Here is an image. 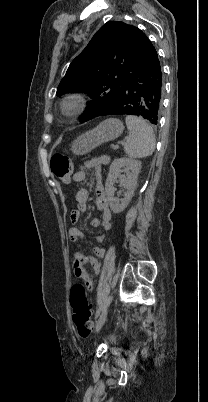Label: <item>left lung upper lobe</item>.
Listing matches in <instances>:
<instances>
[{
	"label": "left lung upper lobe",
	"mask_w": 208,
	"mask_h": 402,
	"mask_svg": "<svg viewBox=\"0 0 208 402\" xmlns=\"http://www.w3.org/2000/svg\"><path fill=\"white\" fill-rule=\"evenodd\" d=\"M133 31L132 25L109 21L71 62L56 94L83 92L92 98L88 110L80 116L81 122L97 117L112 103L120 86L134 70Z\"/></svg>",
	"instance_id": "1"
}]
</instances>
